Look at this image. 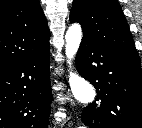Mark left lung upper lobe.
Returning a JSON list of instances; mask_svg holds the SVG:
<instances>
[{"mask_svg": "<svg viewBox=\"0 0 142 128\" xmlns=\"http://www.w3.org/2000/svg\"><path fill=\"white\" fill-rule=\"evenodd\" d=\"M70 21L82 25L84 38L101 43L126 58L140 61L117 0H73Z\"/></svg>", "mask_w": 142, "mask_h": 128, "instance_id": "1", "label": "left lung upper lobe"}]
</instances>
